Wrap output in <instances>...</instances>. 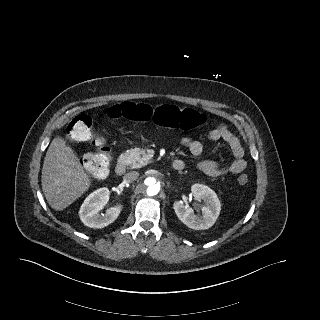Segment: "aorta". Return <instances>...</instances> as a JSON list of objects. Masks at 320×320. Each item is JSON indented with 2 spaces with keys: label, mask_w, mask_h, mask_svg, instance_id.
<instances>
[{
  "label": "aorta",
  "mask_w": 320,
  "mask_h": 320,
  "mask_svg": "<svg viewBox=\"0 0 320 320\" xmlns=\"http://www.w3.org/2000/svg\"><path fill=\"white\" fill-rule=\"evenodd\" d=\"M142 186L148 196H156L161 189L158 179L148 175L142 179Z\"/></svg>",
  "instance_id": "1"
}]
</instances>
